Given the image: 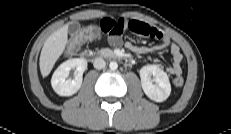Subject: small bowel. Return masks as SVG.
I'll list each match as a JSON object with an SVG mask.
<instances>
[{"mask_svg":"<svg viewBox=\"0 0 231 134\" xmlns=\"http://www.w3.org/2000/svg\"><path fill=\"white\" fill-rule=\"evenodd\" d=\"M99 28L102 33L108 36V41L113 46H119L122 43V33L125 30H130L139 36L159 41L160 44L157 46V49L170 48L172 63L167 67V72L173 76H178L182 73L183 55L180 47L159 29L140 20L125 18H104L100 21Z\"/></svg>","mask_w":231,"mask_h":134,"instance_id":"c3829d8e","label":"small bowel"}]
</instances>
